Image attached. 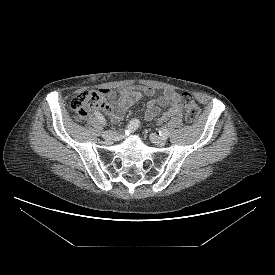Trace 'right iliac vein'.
I'll list each match as a JSON object with an SVG mask.
<instances>
[{"label": "right iliac vein", "mask_w": 275, "mask_h": 275, "mask_svg": "<svg viewBox=\"0 0 275 275\" xmlns=\"http://www.w3.org/2000/svg\"><path fill=\"white\" fill-rule=\"evenodd\" d=\"M116 136V132L114 131H105L102 134V137L107 141L110 142L112 141Z\"/></svg>", "instance_id": "right-iliac-vein-1"}]
</instances>
